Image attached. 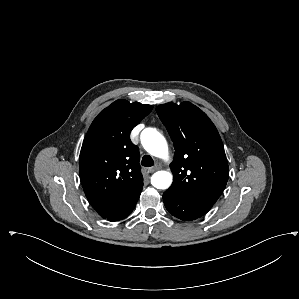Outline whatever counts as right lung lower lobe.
I'll return each instance as SVG.
<instances>
[{
	"label": "right lung lower lobe",
	"mask_w": 299,
	"mask_h": 299,
	"mask_svg": "<svg viewBox=\"0 0 299 299\" xmlns=\"http://www.w3.org/2000/svg\"><path fill=\"white\" fill-rule=\"evenodd\" d=\"M141 191L132 199L130 200L127 204H125L123 207H121L119 210H117L115 213L111 214L108 216L107 219L108 221H119L121 219L126 218L128 215L131 214L133 209L136 206V203L138 201V198L140 196Z\"/></svg>",
	"instance_id": "right-lung-lower-lobe-1"
}]
</instances>
